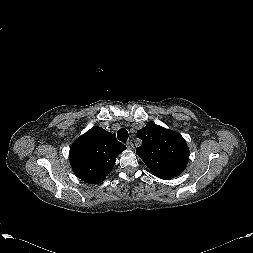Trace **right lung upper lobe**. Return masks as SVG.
Returning a JSON list of instances; mask_svg holds the SVG:
<instances>
[{
	"instance_id": "cb5924a9",
	"label": "right lung upper lobe",
	"mask_w": 253,
	"mask_h": 253,
	"mask_svg": "<svg viewBox=\"0 0 253 253\" xmlns=\"http://www.w3.org/2000/svg\"><path fill=\"white\" fill-rule=\"evenodd\" d=\"M126 146L110 132L94 127L76 139L70 148L75 175L87 183H100L114 167L116 157Z\"/></svg>"
}]
</instances>
